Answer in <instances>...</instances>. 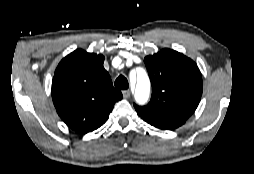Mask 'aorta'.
Listing matches in <instances>:
<instances>
[{"label":"aorta","instance_id":"aorta-1","mask_svg":"<svg viewBox=\"0 0 254 174\" xmlns=\"http://www.w3.org/2000/svg\"><path fill=\"white\" fill-rule=\"evenodd\" d=\"M150 96V80L146 71L142 68L137 70V82L135 88V99L140 105L147 103Z\"/></svg>","mask_w":254,"mask_h":174}]
</instances>
